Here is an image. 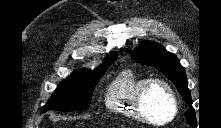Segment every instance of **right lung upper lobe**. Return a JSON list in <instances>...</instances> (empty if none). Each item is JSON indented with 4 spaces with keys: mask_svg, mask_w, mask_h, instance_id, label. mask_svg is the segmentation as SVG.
<instances>
[{
    "mask_svg": "<svg viewBox=\"0 0 221 128\" xmlns=\"http://www.w3.org/2000/svg\"><path fill=\"white\" fill-rule=\"evenodd\" d=\"M116 55H117V53L111 52V54H108V56L104 59V61H106V60L109 59L110 57L116 56ZM104 61H103V62H104Z\"/></svg>",
    "mask_w": 221,
    "mask_h": 128,
    "instance_id": "obj_1",
    "label": "right lung upper lobe"
}]
</instances>
